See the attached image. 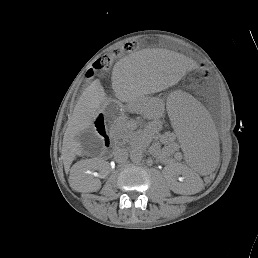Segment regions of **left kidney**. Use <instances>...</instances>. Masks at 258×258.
<instances>
[{
    "label": "left kidney",
    "instance_id": "1",
    "mask_svg": "<svg viewBox=\"0 0 258 258\" xmlns=\"http://www.w3.org/2000/svg\"><path fill=\"white\" fill-rule=\"evenodd\" d=\"M183 176L185 178V182L184 183H176L173 186L172 190L177 194L191 195L194 193V190L192 187V184L194 182V180H192V179H194V177H193V175H191V173L188 169L184 170Z\"/></svg>",
    "mask_w": 258,
    "mask_h": 258
}]
</instances>
